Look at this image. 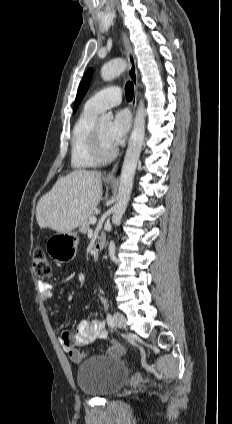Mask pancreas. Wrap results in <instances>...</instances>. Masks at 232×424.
Segmentation results:
<instances>
[{
	"mask_svg": "<svg viewBox=\"0 0 232 424\" xmlns=\"http://www.w3.org/2000/svg\"><path fill=\"white\" fill-rule=\"evenodd\" d=\"M95 217V215L92 213L80 226L79 231L81 233H86L90 226V218Z\"/></svg>",
	"mask_w": 232,
	"mask_h": 424,
	"instance_id": "1",
	"label": "pancreas"
}]
</instances>
